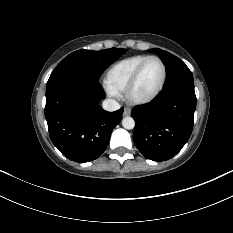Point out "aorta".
Wrapping results in <instances>:
<instances>
[{
	"instance_id": "1",
	"label": "aorta",
	"mask_w": 233,
	"mask_h": 233,
	"mask_svg": "<svg viewBox=\"0 0 233 233\" xmlns=\"http://www.w3.org/2000/svg\"><path fill=\"white\" fill-rule=\"evenodd\" d=\"M122 126L128 130L133 129L135 127V121L132 117H124L122 120Z\"/></svg>"
}]
</instances>
